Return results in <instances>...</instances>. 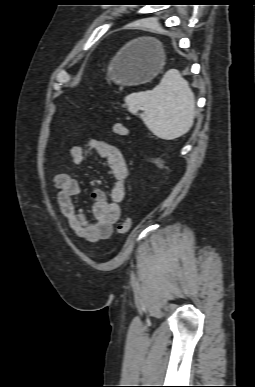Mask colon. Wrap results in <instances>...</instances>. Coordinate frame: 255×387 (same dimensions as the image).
I'll return each mask as SVG.
<instances>
[{
    "label": "colon",
    "instance_id": "obj_1",
    "mask_svg": "<svg viewBox=\"0 0 255 387\" xmlns=\"http://www.w3.org/2000/svg\"><path fill=\"white\" fill-rule=\"evenodd\" d=\"M112 131L119 137H125L128 134L127 127L121 122H115L112 125ZM132 227V219L125 217L118 225V232L121 234L127 233Z\"/></svg>",
    "mask_w": 255,
    "mask_h": 387
}]
</instances>
